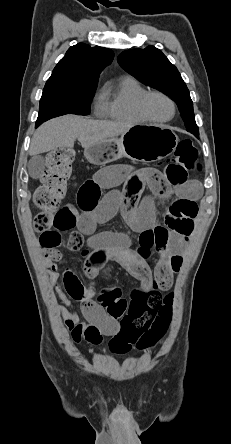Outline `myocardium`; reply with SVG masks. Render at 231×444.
Here are the masks:
<instances>
[{"label": "myocardium", "mask_w": 231, "mask_h": 444, "mask_svg": "<svg viewBox=\"0 0 231 444\" xmlns=\"http://www.w3.org/2000/svg\"><path fill=\"white\" fill-rule=\"evenodd\" d=\"M151 96H161L163 98H165L166 100H168L172 106V114L169 118L167 119H158L153 117L152 115H150V113L147 110V101ZM176 103L175 101L166 93L162 92V91H158V90H151V91H146L145 93H143L141 95V97L138 99L137 102V111L140 114V116L145 119L146 121L149 122H154V123H167L170 122L176 115Z\"/></svg>", "instance_id": "myocardium-1"}]
</instances>
